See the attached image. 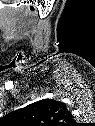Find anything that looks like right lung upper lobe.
I'll list each match as a JSON object with an SVG mask.
<instances>
[{
    "mask_svg": "<svg viewBox=\"0 0 95 126\" xmlns=\"http://www.w3.org/2000/svg\"><path fill=\"white\" fill-rule=\"evenodd\" d=\"M6 119L15 126H72L71 112L66 105L54 99H42L24 108L10 112Z\"/></svg>",
    "mask_w": 95,
    "mask_h": 126,
    "instance_id": "1",
    "label": "right lung upper lobe"
}]
</instances>
